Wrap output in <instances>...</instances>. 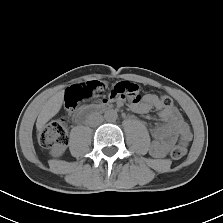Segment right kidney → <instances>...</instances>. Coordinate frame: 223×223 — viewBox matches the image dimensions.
I'll use <instances>...</instances> for the list:
<instances>
[{"instance_id":"obj_1","label":"right kidney","mask_w":223,"mask_h":223,"mask_svg":"<svg viewBox=\"0 0 223 223\" xmlns=\"http://www.w3.org/2000/svg\"><path fill=\"white\" fill-rule=\"evenodd\" d=\"M63 152H64L63 147L58 146V147H55V148L52 150L51 153H52V155H54V156H60Z\"/></svg>"}]
</instances>
